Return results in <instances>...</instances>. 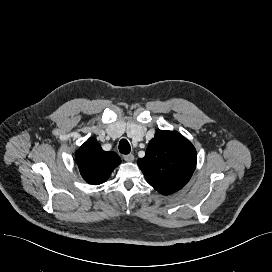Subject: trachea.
I'll use <instances>...</instances> for the list:
<instances>
[{
  "label": "trachea",
  "instance_id": "1",
  "mask_svg": "<svg viewBox=\"0 0 272 272\" xmlns=\"http://www.w3.org/2000/svg\"><path fill=\"white\" fill-rule=\"evenodd\" d=\"M130 150H131V148H130L129 142L126 139H122L119 142V151H120V153L129 154Z\"/></svg>",
  "mask_w": 272,
  "mask_h": 272
}]
</instances>
